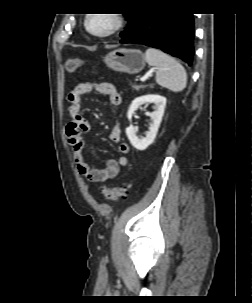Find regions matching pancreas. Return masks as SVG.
Instances as JSON below:
<instances>
[{"label":"pancreas","mask_w":252,"mask_h":303,"mask_svg":"<svg viewBox=\"0 0 252 303\" xmlns=\"http://www.w3.org/2000/svg\"><path fill=\"white\" fill-rule=\"evenodd\" d=\"M140 88H141V86H135V85H132V89H133V90L138 91Z\"/></svg>","instance_id":"obj_1"}]
</instances>
